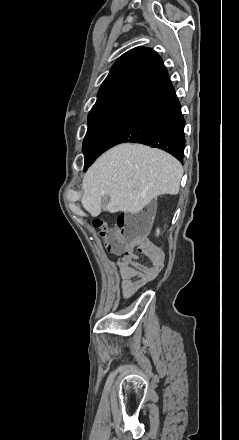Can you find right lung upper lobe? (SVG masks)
<instances>
[{
	"label": "right lung upper lobe",
	"mask_w": 239,
	"mask_h": 440,
	"mask_svg": "<svg viewBox=\"0 0 239 440\" xmlns=\"http://www.w3.org/2000/svg\"><path fill=\"white\" fill-rule=\"evenodd\" d=\"M167 75L161 57L154 50L131 49L112 66L99 89L95 105L116 98L133 99L152 89Z\"/></svg>",
	"instance_id": "cb5924a9"
}]
</instances>
